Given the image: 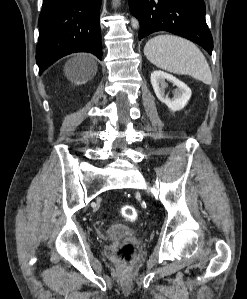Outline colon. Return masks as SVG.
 Segmentation results:
<instances>
[{"label": "colon", "instance_id": "colon-1", "mask_svg": "<svg viewBox=\"0 0 247 299\" xmlns=\"http://www.w3.org/2000/svg\"><path fill=\"white\" fill-rule=\"evenodd\" d=\"M121 215L128 221H134L137 218V210L132 205H125L121 208ZM135 247L132 243L127 242L117 250L118 261L125 267L130 266L134 257Z\"/></svg>", "mask_w": 247, "mask_h": 299}]
</instances>
